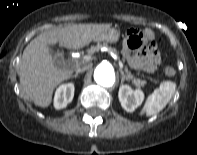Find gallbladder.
Listing matches in <instances>:
<instances>
[{"label":"gallbladder","mask_w":197,"mask_h":155,"mask_svg":"<svg viewBox=\"0 0 197 155\" xmlns=\"http://www.w3.org/2000/svg\"><path fill=\"white\" fill-rule=\"evenodd\" d=\"M51 53L53 54V62L56 67H61L64 64V53L58 49H54L52 46H49Z\"/></svg>","instance_id":"gallbladder-1"}]
</instances>
